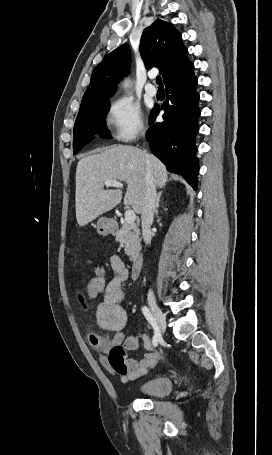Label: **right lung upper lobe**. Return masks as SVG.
Here are the masks:
<instances>
[{"instance_id": "right-lung-upper-lobe-1", "label": "right lung upper lobe", "mask_w": 272, "mask_h": 455, "mask_svg": "<svg viewBox=\"0 0 272 455\" xmlns=\"http://www.w3.org/2000/svg\"><path fill=\"white\" fill-rule=\"evenodd\" d=\"M139 51L146 68L159 67L165 85L182 78L194 68L188 60V50L182 43L180 33L161 19L144 29ZM129 66L127 45H121L109 53L94 69L79 112L108 102Z\"/></svg>"}]
</instances>
